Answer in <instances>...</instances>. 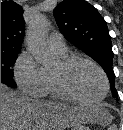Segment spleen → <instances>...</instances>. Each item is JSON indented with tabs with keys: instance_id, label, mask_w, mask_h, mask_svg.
Returning a JSON list of instances; mask_svg holds the SVG:
<instances>
[{
	"instance_id": "obj_1",
	"label": "spleen",
	"mask_w": 123,
	"mask_h": 130,
	"mask_svg": "<svg viewBox=\"0 0 123 130\" xmlns=\"http://www.w3.org/2000/svg\"><path fill=\"white\" fill-rule=\"evenodd\" d=\"M109 130H117V128H116L115 125H113V126H110V127H109Z\"/></svg>"
}]
</instances>
